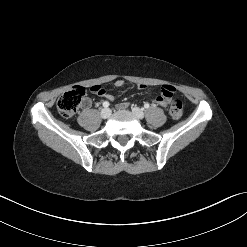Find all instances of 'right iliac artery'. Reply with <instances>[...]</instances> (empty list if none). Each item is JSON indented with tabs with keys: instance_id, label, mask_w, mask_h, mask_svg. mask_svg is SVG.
<instances>
[{
	"instance_id": "1",
	"label": "right iliac artery",
	"mask_w": 247,
	"mask_h": 247,
	"mask_svg": "<svg viewBox=\"0 0 247 247\" xmlns=\"http://www.w3.org/2000/svg\"><path fill=\"white\" fill-rule=\"evenodd\" d=\"M109 102L108 101H105V102H103V107H105V108H107V107H109Z\"/></svg>"
}]
</instances>
